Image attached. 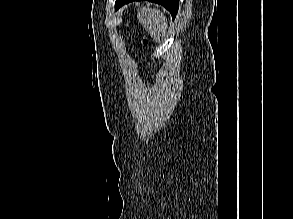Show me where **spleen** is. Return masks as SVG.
<instances>
[{
  "label": "spleen",
  "mask_w": 293,
  "mask_h": 219,
  "mask_svg": "<svg viewBox=\"0 0 293 219\" xmlns=\"http://www.w3.org/2000/svg\"><path fill=\"white\" fill-rule=\"evenodd\" d=\"M137 17L153 40L160 42L168 28V21L165 15L157 9L140 8L137 12Z\"/></svg>",
  "instance_id": "3e777b00"
}]
</instances>
